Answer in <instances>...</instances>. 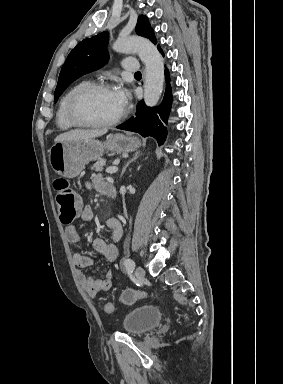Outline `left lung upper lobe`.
I'll use <instances>...</instances> for the list:
<instances>
[{
    "label": "left lung upper lobe",
    "mask_w": 283,
    "mask_h": 384,
    "mask_svg": "<svg viewBox=\"0 0 283 384\" xmlns=\"http://www.w3.org/2000/svg\"><path fill=\"white\" fill-rule=\"evenodd\" d=\"M136 33L150 39L156 44L154 31L146 16H139ZM108 41V32H102L81 41L70 52L59 75L58 84L54 93V102L57 101L70 83L86 73L99 69L107 62L108 54L106 45Z\"/></svg>",
    "instance_id": "left-lung-upper-lobe-1"
}]
</instances>
